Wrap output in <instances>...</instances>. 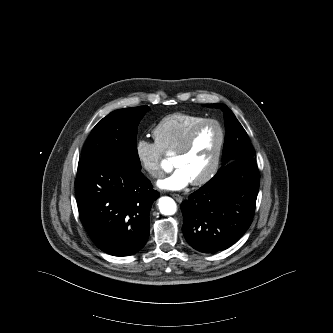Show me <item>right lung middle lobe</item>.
<instances>
[{"label":"right lung middle lobe","mask_w":333,"mask_h":333,"mask_svg":"<svg viewBox=\"0 0 333 333\" xmlns=\"http://www.w3.org/2000/svg\"><path fill=\"white\" fill-rule=\"evenodd\" d=\"M148 106L113 111L91 131L82 152L81 160L114 158L128 166L141 169L137 153V127Z\"/></svg>","instance_id":"1"}]
</instances>
